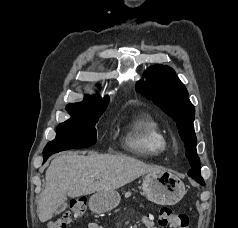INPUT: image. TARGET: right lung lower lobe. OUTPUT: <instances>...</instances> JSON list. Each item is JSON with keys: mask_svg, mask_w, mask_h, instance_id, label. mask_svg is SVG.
I'll list each match as a JSON object with an SVG mask.
<instances>
[{"mask_svg": "<svg viewBox=\"0 0 238 228\" xmlns=\"http://www.w3.org/2000/svg\"><path fill=\"white\" fill-rule=\"evenodd\" d=\"M52 154H54V153H43V156H44V162L48 159V157L50 156V155H52Z\"/></svg>", "mask_w": 238, "mask_h": 228, "instance_id": "98d812e1", "label": "right lung lower lobe"}]
</instances>
